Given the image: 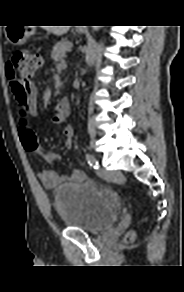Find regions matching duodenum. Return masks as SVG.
<instances>
[{"instance_id":"duodenum-1","label":"duodenum","mask_w":184,"mask_h":292,"mask_svg":"<svg viewBox=\"0 0 184 292\" xmlns=\"http://www.w3.org/2000/svg\"><path fill=\"white\" fill-rule=\"evenodd\" d=\"M70 103L67 99H61L56 103L55 114L59 119L65 118L69 114Z\"/></svg>"}]
</instances>
